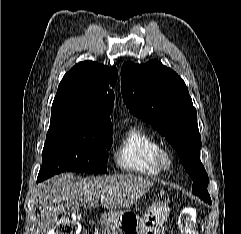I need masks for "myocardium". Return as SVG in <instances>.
<instances>
[{
	"label": "myocardium",
	"mask_w": 241,
	"mask_h": 234,
	"mask_svg": "<svg viewBox=\"0 0 241 234\" xmlns=\"http://www.w3.org/2000/svg\"><path fill=\"white\" fill-rule=\"evenodd\" d=\"M157 160L162 170H169L173 165V156L172 153L165 149L160 148L157 153Z\"/></svg>",
	"instance_id": "myocardium-1"
}]
</instances>
